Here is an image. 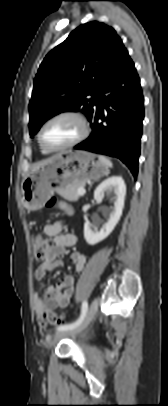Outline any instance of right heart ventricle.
I'll list each match as a JSON object with an SVG mask.
<instances>
[{"label":"right heart ventricle","mask_w":168,"mask_h":406,"mask_svg":"<svg viewBox=\"0 0 168 406\" xmlns=\"http://www.w3.org/2000/svg\"><path fill=\"white\" fill-rule=\"evenodd\" d=\"M41 152H42L43 154H48V153H49L48 151L44 150L42 147H41Z\"/></svg>","instance_id":"1"}]
</instances>
